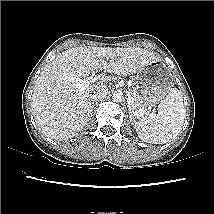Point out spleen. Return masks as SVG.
I'll return each instance as SVG.
<instances>
[{
    "mask_svg": "<svg viewBox=\"0 0 214 214\" xmlns=\"http://www.w3.org/2000/svg\"><path fill=\"white\" fill-rule=\"evenodd\" d=\"M184 119L183 97L177 88H172L159 104L157 114L142 117L136 124V130L142 141L164 144L180 133Z\"/></svg>",
    "mask_w": 214,
    "mask_h": 214,
    "instance_id": "3e777b00",
    "label": "spleen"
}]
</instances>
